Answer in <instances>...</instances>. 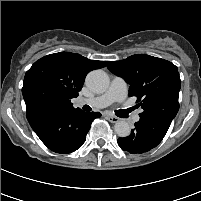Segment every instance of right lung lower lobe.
Listing matches in <instances>:
<instances>
[{"label":"right lung lower lobe","mask_w":201,"mask_h":201,"mask_svg":"<svg viewBox=\"0 0 201 201\" xmlns=\"http://www.w3.org/2000/svg\"><path fill=\"white\" fill-rule=\"evenodd\" d=\"M99 112L39 109L27 113V119L40 140L52 151L67 154L79 149L86 140L91 123Z\"/></svg>","instance_id":"obj_1"}]
</instances>
